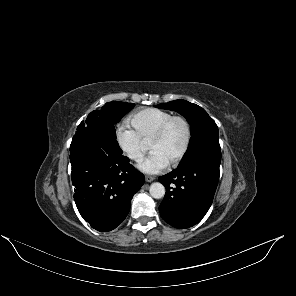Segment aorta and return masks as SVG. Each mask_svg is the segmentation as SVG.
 I'll use <instances>...</instances> for the list:
<instances>
[{
    "label": "aorta",
    "instance_id": "762f6f07",
    "mask_svg": "<svg viewBox=\"0 0 296 296\" xmlns=\"http://www.w3.org/2000/svg\"><path fill=\"white\" fill-rule=\"evenodd\" d=\"M149 193L153 198L160 199L165 195V187L159 182H154L150 185Z\"/></svg>",
    "mask_w": 296,
    "mask_h": 296
}]
</instances>
